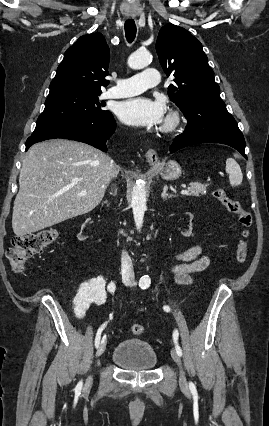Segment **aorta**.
Instances as JSON below:
<instances>
[{
  "instance_id": "obj_1",
  "label": "aorta",
  "mask_w": 269,
  "mask_h": 426,
  "mask_svg": "<svg viewBox=\"0 0 269 426\" xmlns=\"http://www.w3.org/2000/svg\"><path fill=\"white\" fill-rule=\"evenodd\" d=\"M152 56L148 51H137L128 59V65L132 69H141L151 62ZM131 206L137 230L140 231L143 225L144 213L146 210V189L142 182L135 184L132 190Z\"/></svg>"
}]
</instances>
